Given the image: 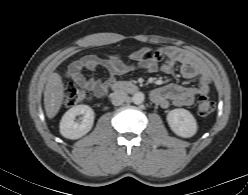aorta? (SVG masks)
Returning a JSON list of instances; mask_svg holds the SVG:
<instances>
[{"label": "aorta", "mask_w": 248, "mask_h": 195, "mask_svg": "<svg viewBox=\"0 0 248 195\" xmlns=\"http://www.w3.org/2000/svg\"><path fill=\"white\" fill-rule=\"evenodd\" d=\"M144 94L142 92H136L133 97H132V101L134 104H141L144 101Z\"/></svg>", "instance_id": "aorta-1"}]
</instances>
